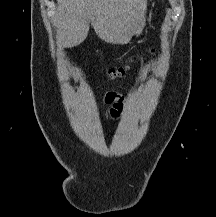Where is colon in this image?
Here are the masks:
<instances>
[{
	"label": "colon",
	"mask_w": 216,
	"mask_h": 217,
	"mask_svg": "<svg viewBox=\"0 0 216 217\" xmlns=\"http://www.w3.org/2000/svg\"><path fill=\"white\" fill-rule=\"evenodd\" d=\"M152 51V50H151ZM138 60V56H135L132 60L133 63H135ZM129 69V65L125 66H119V67H114L110 68L108 73L111 77H121L125 75L126 71Z\"/></svg>",
	"instance_id": "obj_1"
}]
</instances>
